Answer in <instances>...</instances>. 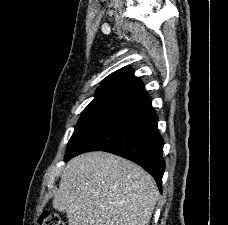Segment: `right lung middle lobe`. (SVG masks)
<instances>
[{
    "label": "right lung middle lobe",
    "mask_w": 228,
    "mask_h": 225,
    "mask_svg": "<svg viewBox=\"0 0 228 225\" xmlns=\"http://www.w3.org/2000/svg\"><path fill=\"white\" fill-rule=\"evenodd\" d=\"M141 92L142 90L140 89L122 84L98 87L95 98L85 108L77 122L74 133L68 142L65 156L70 154L91 130L109 118Z\"/></svg>",
    "instance_id": "dd1d6c3e"
}]
</instances>
